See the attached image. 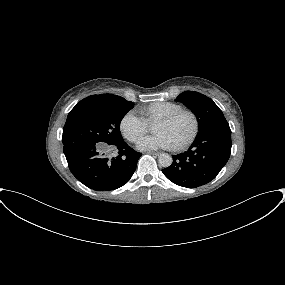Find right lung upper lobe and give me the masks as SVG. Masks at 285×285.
I'll return each mask as SVG.
<instances>
[{
    "instance_id": "right-lung-upper-lobe-1",
    "label": "right lung upper lobe",
    "mask_w": 285,
    "mask_h": 285,
    "mask_svg": "<svg viewBox=\"0 0 285 285\" xmlns=\"http://www.w3.org/2000/svg\"><path fill=\"white\" fill-rule=\"evenodd\" d=\"M110 96H112V94L91 95L85 99L106 98V97H110Z\"/></svg>"
}]
</instances>
